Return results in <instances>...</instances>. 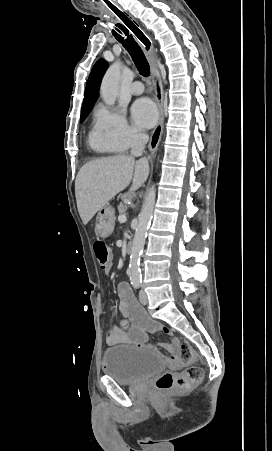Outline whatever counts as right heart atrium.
I'll list each match as a JSON object with an SVG mask.
<instances>
[{
  "mask_svg": "<svg viewBox=\"0 0 272 451\" xmlns=\"http://www.w3.org/2000/svg\"><path fill=\"white\" fill-rule=\"evenodd\" d=\"M95 131L100 138L125 149L133 140L136 131L131 127L122 109L100 107L96 113Z\"/></svg>",
  "mask_w": 272,
  "mask_h": 451,
  "instance_id": "1",
  "label": "right heart atrium"
}]
</instances>
